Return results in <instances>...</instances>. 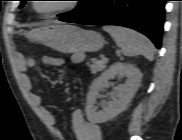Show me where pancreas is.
<instances>
[{
  "label": "pancreas",
  "instance_id": "obj_1",
  "mask_svg": "<svg viewBox=\"0 0 182 140\" xmlns=\"http://www.w3.org/2000/svg\"><path fill=\"white\" fill-rule=\"evenodd\" d=\"M92 64H90L89 62L87 63V65L90 67V71L94 74L98 73L99 71H102L106 68V63L107 62H103L102 60H97V59H91Z\"/></svg>",
  "mask_w": 182,
  "mask_h": 140
}]
</instances>
